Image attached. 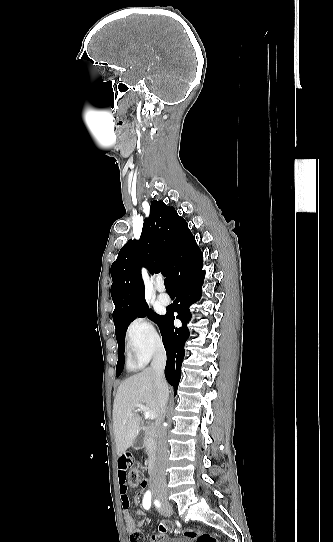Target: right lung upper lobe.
Returning a JSON list of instances; mask_svg holds the SVG:
<instances>
[{
    "label": "right lung upper lobe",
    "instance_id": "cb5924a9",
    "mask_svg": "<svg viewBox=\"0 0 333 542\" xmlns=\"http://www.w3.org/2000/svg\"><path fill=\"white\" fill-rule=\"evenodd\" d=\"M195 242L186 221L163 201H152L140 240H129L111 266L113 321L147 306L141 266L172 279L176 255Z\"/></svg>",
    "mask_w": 333,
    "mask_h": 542
}]
</instances>
